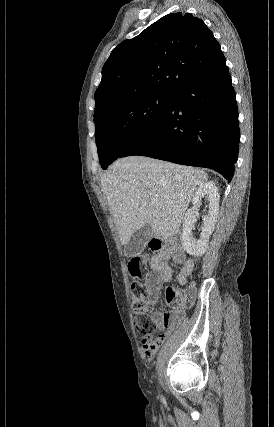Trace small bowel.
Masks as SVG:
<instances>
[{"mask_svg": "<svg viewBox=\"0 0 274 427\" xmlns=\"http://www.w3.org/2000/svg\"><path fill=\"white\" fill-rule=\"evenodd\" d=\"M171 260L180 265V271L177 275V280L180 284H185L192 274L195 261L193 258L187 257L186 251L180 243L175 242L160 247L151 257V271L144 274L146 302L148 306L155 305L163 284L171 279L172 268L169 264ZM168 304L172 305V302H168ZM177 318L178 311L162 313L154 310L151 313V319L157 325L160 332L155 336L142 338V350L147 358H152L156 354L168 334L175 327Z\"/></svg>", "mask_w": 274, "mask_h": 427, "instance_id": "1", "label": "small bowel"}]
</instances>
